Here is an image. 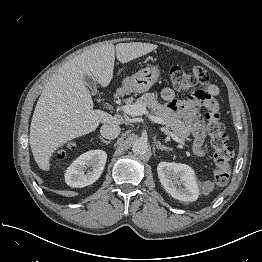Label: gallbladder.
Wrapping results in <instances>:
<instances>
[{
    "label": "gallbladder",
    "instance_id": "1",
    "mask_svg": "<svg viewBox=\"0 0 262 262\" xmlns=\"http://www.w3.org/2000/svg\"><path fill=\"white\" fill-rule=\"evenodd\" d=\"M84 83L91 89L92 93L95 95L97 93L96 81L93 76L85 74L83 76Z\"/></svg>",
    "mask_w": 262,
    "mask_h": 262
}]
</instances>
